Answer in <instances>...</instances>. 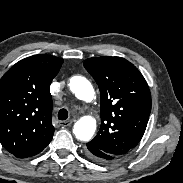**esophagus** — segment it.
Returning <instances> with one entry per match:
<instances>
[{"instance_id": "esophagus-1", "label": "esophagus", "mask_w": 183, "mask_h": 183, "mask_svg": "<svg viewBox=\"0 0 183 183\" xmlns=\"http://www.w3.org/2000/svg\"><path fill=\"white\" fill-rule=\"evenodd\" d=\"M74 122V120H67V121H60L59 124L62 127H68L70 126L72 123Z\"/></svg>"}]
</instances>
